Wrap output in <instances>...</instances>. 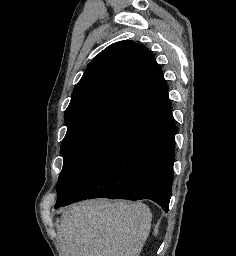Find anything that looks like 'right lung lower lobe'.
Listing matches in <instances>:
<instances>
[{
  "instance_id": "98d812e1",
  "label": "right lung lower lobe",
  "mask_w": 236,
  "mask_h": 256,
  "mask_svg": "<svg viewBox=\"0 0 236 256\" xmlns=\"http://www.w3.org/2000/svg\"><path fill=\"white\" fill-rule=\"evenodd\" d=\"M177 132L171 111L126 141L55 208L91 198L151 199L167 212Z\"/></svg>"
}]
</instances>
